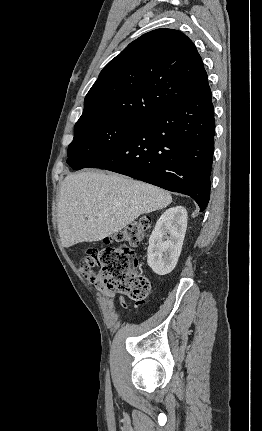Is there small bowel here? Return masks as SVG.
<instances>
[{
  "mask_svg": "<svg viewBox=\"0 0 262 431\" xmlns=\"http://www.w3.org/2000/svg\"><path fill=\"white\" fill-rule=\"evenodd\" d=\"M86 276H87L88 281H89V282H92V283H93V285H95V286H96L97 290H98V291H99L103 296L108 297V298H110V299H112V300H116V299H118V298H119V297H118V295H117L116 293H114V292H110L109 290H107L106 288H104L101 284H99V283H97V282L93 281V279H92V277H91V275H90V274H87Z\"/></svg>",
  "mask_w": 262,
  "mask_h": 431,
  "instance_id": "small-bowel-1",
  "label": "small bowel"
}]
</instances>
